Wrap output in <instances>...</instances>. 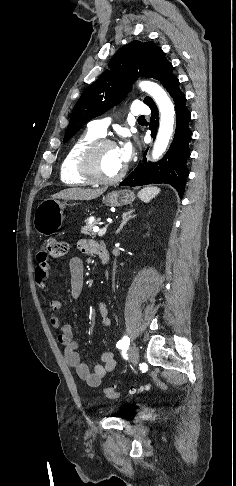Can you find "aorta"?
I'll use <instances>...</instances> for the list:
<instances>
[{"mask_svg":"<svg viewBox=\"0 0 236 486\" xmlns=\"http://www.w3.org/2000/svg\"><path fill=\"white\" fill-rule=\"evenodd\" d=\"M139 86L155 100L160 112L159 130L152 151L153 160H157L166 151L173 133L174 106L167 93L156 83L141 82Z\"/></svg>","mask_w":236,"mask_h":486,"instance_id":"1","label":"aorta"}]
</instances>
